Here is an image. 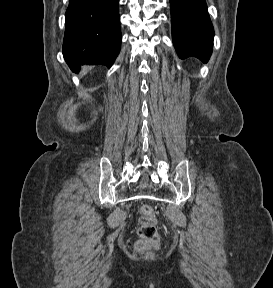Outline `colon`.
I'll use <instances>...</instances> for the list:
<instances>
[{
    "label": "colon",
    "instance_id": "1",
    "mask_svg": "<svg viewBox=\"0 0 273 288\" xmlns=\"http://www.w3.org/2000/svg\"><path fill=\"white\" fill-rule=\"evenodd\" d=\"M138 250L155 248L159 244L157 217L152 206L143 204L139 208Z\"/></svg>",
    "mask_w": 273,
    "mask_h": 288
}]
</instances>
